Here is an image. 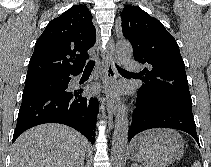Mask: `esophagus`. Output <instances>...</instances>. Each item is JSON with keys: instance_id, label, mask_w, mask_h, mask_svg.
Masks as SVG:
<instances>
[{"instance_id": "esophagus-1", "label": "esophagus", "mask_w": 211, "mask_h": 167, "mask_svg": "<svg viewBox=\"0 0 211 167\" xmlns=\"http://www.w3.org/2000/svg\"><path fill=\"white\" fill-rule=\"evenodd\" d=\"M117 59L115 46L111 40L108 47V52L105 56V76H104V93L107 105L108 114L113 116L117 112V96L113 90V83L117 78L114 62Z\"/></svg>"}]
</instances>
